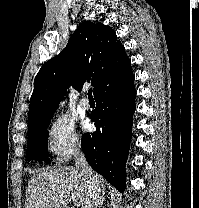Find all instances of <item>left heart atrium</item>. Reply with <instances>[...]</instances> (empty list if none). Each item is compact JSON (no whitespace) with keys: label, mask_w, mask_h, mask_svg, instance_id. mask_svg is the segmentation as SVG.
Listing matches in <instances>:
<instances>
[{"label":"left heart atrium","mask_w":199,"mask_h":208,"mask_svg":"<svg viewBox=\"0 0 199 208\" xmlns=\"http://www.w3.org/2000/svg\"><path fill=\"white\" fill-rule=\"evenodd\" d=\"M83 127H84L85 129H88V128H90V124H89L87 121H85V122L83 123Z\"/></svg>","instance_id":"left-heart-atrium-1"}]
</instances>
